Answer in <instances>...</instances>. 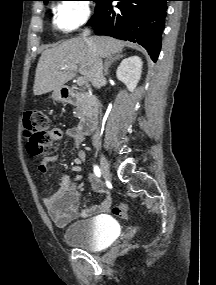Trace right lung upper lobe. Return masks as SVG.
<instances>
[{
  "instance_id": "1",
  "label": "right lung upper lobe",
  "mask_w": 216,
  "mask_h": 285,
  "mask_svg": "<svg viewBox=\"0 0 216 285\" xmlns=\"http://www.w3.org/2000/svg\"><path fill=\"white\" fill-rule=\"evenodd\" d=\"M42 1H44V3H46V2L51 1V0H42Z\"/></svg>"
}]
</instances>
